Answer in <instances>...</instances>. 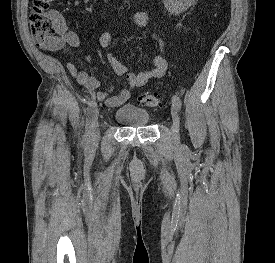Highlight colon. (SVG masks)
Segmentation results:
<instances>
[{"label": "colon", "instance_id": "5ec220e1", "mask_svg": "<svg viewBox=\"0 0 275 263\" xmlns=\"http://www.w3.org/2000/svg\"><path fill=\"white\" fill-rule=\"evenodd\" d=\"M54 0H33L30 12V27L32 37L40 45L53 40L56 36L57 25L54 18L48 13ZM138 102L148 108L162 106L163 99L157 93L141 94Z\"/></svg>", "mask_w": 275, "mask_h": 263}]
</instances>
